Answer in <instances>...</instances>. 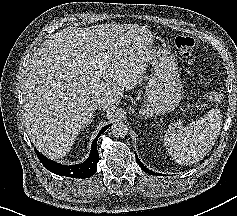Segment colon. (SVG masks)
<instances>
[{
    "mask_svg": "<svg viewBox=\"0 0 237 216\" xmlns=\"http://www.w3.org/2000/svg\"><path fill=\"white\" fill-rule=\"evenodd\" d=\"M176 49L181 53V55L185 58L191 57L194 47H195V40L189 36H177L174 41ZM213 99L217 102L223 99V92L216 91L213 93Z\"/></svg>",
    "mask_w": 237,
    "mask_h": 216,
    "instance_id": "obj_1",
    "label": "colon"
}]
</instances>
